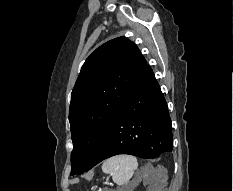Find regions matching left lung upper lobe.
Listing matches in <instances>:
<instances>
[{"label":"left lung upper lobe","instance_id":"1","mask_svg":"<svg viewBox=\"0 0 233 191\" xmlns=\"http://www.w3.org/2000/svg\"><path fill=\"white\" fill-rule=\"evenodd\" d=\"M146 65L126 37L106 42L87 58L71 94V175L86 168Z\"/></svg>","mask_w":233,"mask_h":191}]
</instances>
